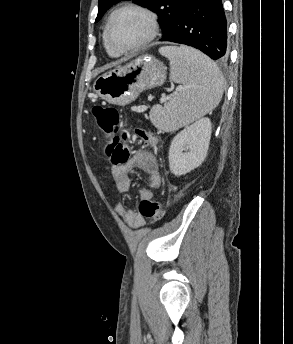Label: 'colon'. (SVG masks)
<instances>
[{"instance_id":"1","label":"colon","mask_w":293,"mask_h":344,"mask_svg":"<svg viewBox=\"0 0 293 344\" xmlns=\"http://www.w3.org/2000/svg\"><path fill=\"white\" fill-rule=\"evenodd\" d=\"M92 116L99 133L105 140V153L111 165L118 167L127 164L130 158V148L127 143L131 136L128 131L117 134L121 119L120 111L115 107L97 105L92 108ZM134 136L145 146L154 147L157 144L155 135L145 129L137 128ZM139 212L155 222L163 217L161 203L156 199L142 200Z\"/></svg>"}]
</instances>
